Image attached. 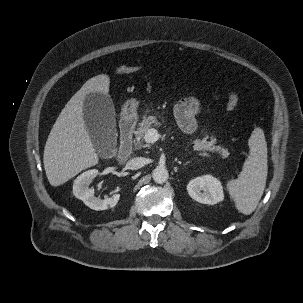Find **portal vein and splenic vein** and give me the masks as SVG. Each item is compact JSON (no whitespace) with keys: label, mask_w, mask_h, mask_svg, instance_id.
<instances>
[{"label":"portal vein and splenic vein","mask_w":303,"mask_h":303,"mask_svg":"<svg viewBox=\"0 0 303 303\" xmlns=\"http://www.w3.org/2000/svg\"><path fill=\"white\" fill-rule=\"evenodd\" d=\"M160 137H161V135L158 133V131L156 129L150 128L145 133L144 140L147 143H154L157 140H159ZM199 155L204 156V157H210V155L208 153H200Z\"/></svg>","instance_id":"portal-vein-and-splenic-vein-1"}]
</instances>
